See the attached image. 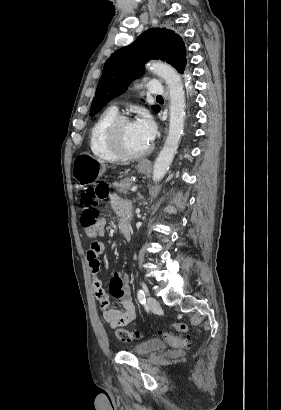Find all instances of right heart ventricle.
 Segmentation results:
<instances>
[{
  "label": "right heart ventricle",
  "mask_w": 281,
  "mask_h": 410,
  "mask_svg": "<svg viewBox=\"0 0 281 410\" xmlns=\"http://www.w3.org/2000/svg\"><path fill=\"white\" fill-rule=\"evenodd\" d=\"M118 116L116 110L108 108L95 120L89 134V147L92 154L104 161L115 162L121 158L111 149L107 141V131Z\"/></svg>",
  "instance_id": "obj_1"
}]
</instances>
